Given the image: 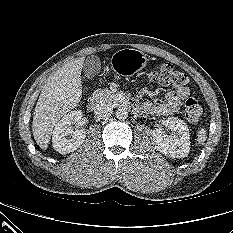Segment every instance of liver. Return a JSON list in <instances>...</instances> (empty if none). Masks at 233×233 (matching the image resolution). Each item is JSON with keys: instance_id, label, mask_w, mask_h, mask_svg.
<instances>
[{"instance_id": "6515ba94", "label": "liver", "mask_w": 233, "mask_h": 233, "mask_svg": "<svg viewBox=\"0 0 233 233\" xmlns=\"http://www.w3.org/2000/svg\"><path fill=\"white\" fill-rule=\"evenodd\" d=\"M84 62L85 57H80L60 67L42 88L32 122L34 139L42 150L48 148L56 123L81 100Z\"/></svg>"}]
</instances>
